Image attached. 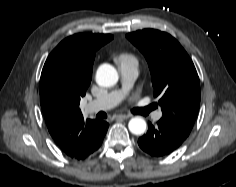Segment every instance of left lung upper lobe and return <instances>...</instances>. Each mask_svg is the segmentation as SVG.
<instances>
[{"label": "left lung upper lobe", "instance_id": "obj_1", "mask_svg": "<svg viewBox=\"0 0 236 187\" xmlns=\"http://www.w3.org/2000/svg\"><path fill=\"white\" fill-rule=\"evenodd\" d=\"M126 37L144 54L151 72L154 96H160L163 117L189 134L200 106V83L195 66L168 33L144 29Z\"/></svg>", "mask_w": 236, "mask_h": 187}]
</instances>
